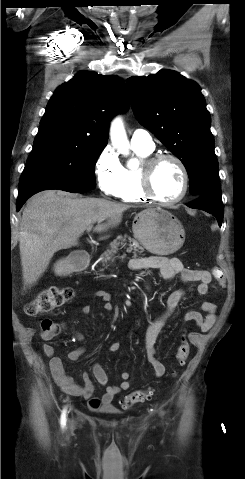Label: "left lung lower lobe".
<instances>
[{
  "label": "left lung lower lobe",
  "mask_w": 245,
  "mask_h": 479,
  "mask_svg": "<svg viewBox=\"0 0 245 479\" xmlns=\"http://www.w3.org/2000/svg\"><path fill=\"white\" fill-rule=\"evenodd\" d=\"M187 206L194 209L204 210L212 214L216 217L219 226L222 225L223 203L220 185L202 193L195 201L187 204Z\"/></svg>",
  "instance_id": "1"
}]
</instances>
